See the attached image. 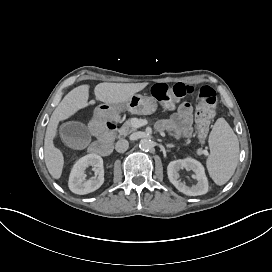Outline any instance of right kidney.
<instances>
[{
	"mask_svg": "<svg viewBox=\"0 0 272 272\" xmlns=\"http://www.w3.org/2000/svg\"><path fill=\"white\" fill-rule=\"evenodd\" d=\"M93 167L95 173H99L98 177L85 179V170ZM103 159L99 155L88 154L81 157L72 167L68 187L71 192L79 195H86L99 189L104 183L103 177Z\"/></svg>",
	"mask_w": 272,
	"mask_h": 272,
	"instance_id": "obj_1",
	"label": "right kidney"
}]
</instances>
